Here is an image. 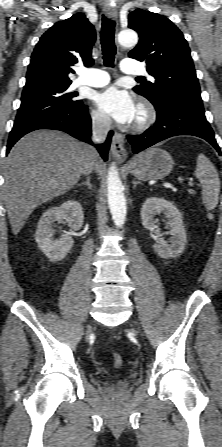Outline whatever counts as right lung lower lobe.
I'll list each match as a JSON object with an SVG mask.
<instances>
[{"instance_id":"obj_1","label":"right lung lower lobe","mask_w":222,"mask_h":447,"mask_svg":"<svg viewBox=\"0 0 222 447\" xmlns=\"http://www.w3.org/2000/svg\"><path fill=\"white\" fill-rule=\"evenodd\" d=\"M38 129H53L64 131L71 136L92 144L91 118L87 106L82 103L52 110L42 115L15 120L7 143V152L25 134ZM113 131L108 133L105 143L97 147L100 155L106 161Z\"/></svg>"}]
</instances>
